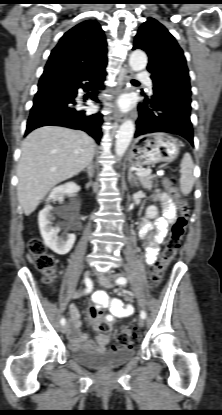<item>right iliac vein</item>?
<instances>
[{"instance_id": "1", "label": "right iliac vein", "mask_w": 222, "mask_h": 415, "mask_svg": "<svg viewBox=\"0 0 222 415\" xmlns=\"http://www.w3.org/2000/svg\"><path fill=\"white\" fill-rule=\"evenodd\" d=\"M90 273H91V270H87L86 272H85V278H88L89 277V275H90ZM68 329H69V326L68 325H63L62 327H61V332L62 333H67V331H68Z\"/></svg>"}]
</instances>
